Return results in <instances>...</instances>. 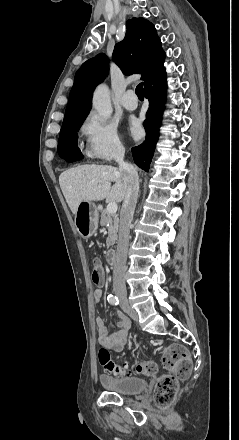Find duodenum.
I'll return each instance as SVG.
<instances>
[{"label": "duodenum", "instance_id": "obj_1", "mask_svg": "<svg viewBox=\"0 0 239 440\" xmlns=\"http://www.w3.org/2000/svg\"><path fill=\"white\" fill-rule=\"evenodd\" d=\"M107 262L110 266H114L116 264L117 261V253L115 250H109L107 252Z\"/></svg>", "mask_w": 239, "mask_h": 440}]
</instances>
